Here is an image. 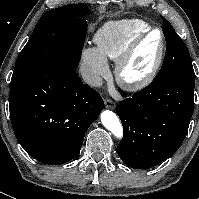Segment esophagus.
<instances>
[{
  "label": "esophagus",
  "instance_id": "obj_1",
  "mask_svg": "<svg viewBox=\"0 0 199 199\" xmlns=\"http://www.w3.org/2000/svg\"><path fill=\"white\" fill-rule=\"evenodd\" d=\"M105 106H106V108H108V109H115L116 104H115L114 101H112V100H110V99H106V100H105Z\"/></svg>",
  "mask_w": 199,
  "mask_h": 199
}]
</instances>
